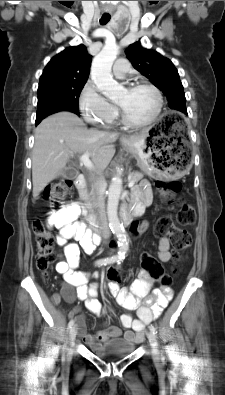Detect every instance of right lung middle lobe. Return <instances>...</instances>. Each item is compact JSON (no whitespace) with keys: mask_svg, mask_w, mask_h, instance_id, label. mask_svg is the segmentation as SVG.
<instances>
[{"mask_svg":"<svg viewBox=\"0 0 225 395\" xmlns=\"http://www.w3.org/2000/svg\"><path fill=\"white\" fill-rule=\"evenodd\" d=\"M86 82L48 83L38 87L36 119L64 109L78 110L81 90Z\"/></svg>","mask_w":225,"mask_h":395,"instance_id":"right-lung-middle-lobe-1","label":"right lung middle lobe"}]
</instances>
